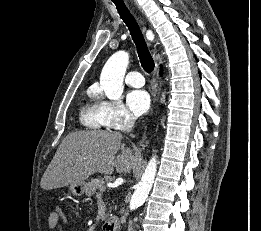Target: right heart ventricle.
<instances>
[{
	"label": "right heart ventricle",
	"mask_w": 261,
	"mask_h": 231,
	"mask_svg": "<svg viewBox=\"0 0 261 231\" xmlns=\"http://www.w3.org/2000/svg\"><path fill=\"white\" fill-rule=\"evenodd\" d=\"M90 97L94 98L96 95L95 88H90L88 91ZM79 121L81 125L86 128L99 130L104 128V124L101 118L100 106L95 101L86 103L80 110Z\"/></svg>",
	"instance_id": "right-heart-ventricle-1"
}]
</instances>
